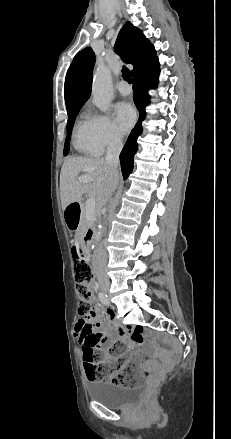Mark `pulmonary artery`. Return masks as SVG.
I'll return each mask as SVG.
<instances>
[{
	"mask_svg": "<svg viewBox=\"0 0 231 439\" xmlns=\"http://www.w3.org/2000/svg\"><path fill=\"white\" fill-rule=\"evenodd\" d=\"M118 90L122 95H128L131 92V87L125 81H121L118 84Z\"/></svg>",
	"mask_w": 231,
	"mask_h": 439,
	"instance_id": "1",
	"label": "pulmonary artery"
}]
</instances>
